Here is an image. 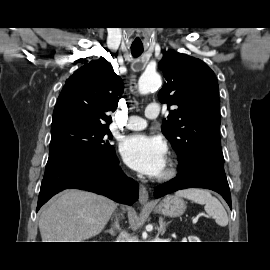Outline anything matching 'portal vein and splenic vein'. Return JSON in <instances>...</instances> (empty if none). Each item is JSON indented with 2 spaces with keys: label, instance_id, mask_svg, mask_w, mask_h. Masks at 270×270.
<instances>
[{
  "label": "portal vein and splenic vein",
  "instance_id": "obj_1",
  "mask_svg": "<svg viewBox=\"0 0 270 270\" xmlns=\"http://www.w3.org/2000/svg\"><path fill=\"white\" fill-rule=\"evenodd\" d=\"M207 218H209L208 216H206ZM193 224H196L198 222V217H194L192 220Z\"/></svg>",
  "mask_w": 270,
  "mask_h": 270
}]
</instances>
